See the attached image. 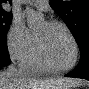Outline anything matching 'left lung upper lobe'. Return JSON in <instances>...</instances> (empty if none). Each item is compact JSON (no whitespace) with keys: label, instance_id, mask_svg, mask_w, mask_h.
Here are the masks:
<instances>
[{"label":"left lung upper lobe","instance_id":"5c2ea615","mask_svg":"<svg viewBox=\"0 0 89 89\" xmlns=\"http://www.w3.org/2000/svg\"><path fill=\"white\" fill-rule=\"evenodd\" d=\"M73 34L80 51L89 48V0H50Z\"/></svg>","mask_w":89,"mask_h":89}]
</instances>
